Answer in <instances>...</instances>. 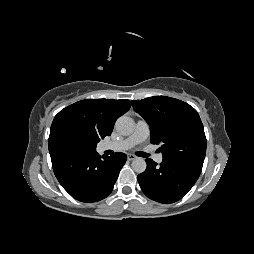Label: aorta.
I'll return each mask as SVG.
<instances>
[{
    "label": "aorta",
    "mask_w": 254,
    "mask_h": 254,
    "mask_svg": "<svg viewBox=\"0 0 254 254\" xmlns=\"http://www.w3.org/2000/svg\"><path fill=\"white\" fill-rule=\"evenodd\" d=\"M116 130L122 135H130L135 127L134 120L128 116H121L117 119L115 123ZM132 168L136 173H143L147 164L144 158L137 157L132 161Z\"/></svg>",
    "instance_id": "aorta-1"
}]
</instances>
